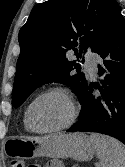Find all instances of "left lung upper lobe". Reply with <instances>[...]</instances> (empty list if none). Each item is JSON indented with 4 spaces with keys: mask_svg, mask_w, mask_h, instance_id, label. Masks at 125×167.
I'll return each instance as SVG.
<instances>
[{
    "mask_svg": "<svg viewBox=\"0 0 125 167\" xmlns=\"http://www.w3.org/2000/svg\"><path fill=\"white\" fill-rule=\"evenodd\" d=\"M120 12L115 0H48L35 6L19 31L12 106L19 107L37 87L51 82L69 85L80 98L87 87L80 69L83 50L100 48ZM71 50L77 60L66 58Z\"/></svg>",
    "mask_w": 125,
    "mask_h": 167,
    "instance_id": "5c2ea615",
    "label": "left lung upper lobe"
}]
</instances>
